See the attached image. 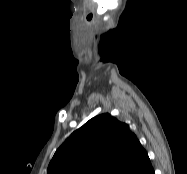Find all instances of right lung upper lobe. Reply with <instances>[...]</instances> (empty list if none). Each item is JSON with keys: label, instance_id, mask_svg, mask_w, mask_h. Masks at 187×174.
I'll return each instance as SVG.
<instances>
[{"label": "right lung upper lobe", "instance_id": "right-lung-upper-lobe-1", "mask_svg": "<svg viewBox=\"0 0 187 174\" xmlns=\"http://www.w3.org/2000/svg\"><path fill=\"white\" fill-rule=\"evenodd\" d=\"M153 168L128 125L105 113L93 117L55 152L47 174H150Z\"/></svg>", "mask_w": 187, "mask_h": 174}]
</instances>
